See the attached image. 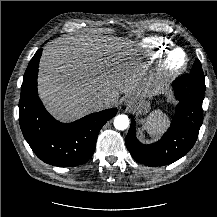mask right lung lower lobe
Returning <instances> with one entry per match:
<instances>
[{
  "label": "right lung lower lobe",
  "mask_w": 217,
  "mask_h": 217,
  "mask_svg": "<svg viewBox=\"0 0 217 217\" xmlns=\"http://www.w3.org/2000/svg\"><path fill=\"white\" fill-rule=\"evenodd\" d=\"M42 49L31 59L23 77L19 101L22 133L33 152L45 163L58 167L86 163L94 153L102 126L117 109L87 115L73 123L56 121L38 97L37 74Z\"/></svg>",
  "instance_id": "98d812e1"
}]
</instances>
